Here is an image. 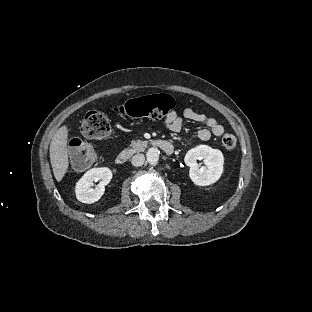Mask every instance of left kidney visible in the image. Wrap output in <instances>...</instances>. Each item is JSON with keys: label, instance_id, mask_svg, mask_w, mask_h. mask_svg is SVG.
<instances>
[{"label": "left kidney", "instance_id": "obj_1", "mask_svg": "<svg viewBox=\"0 0 312 312\" xmlns=\"http://www.w3.org/2000/svg\"><path fill=\"white\" fill-rule=\"evenodd\" d=\"M204 159L207 167L200 168L196 159ZM184 162L190 167L189 177L198 186L208 187L216 183L224 171V155L221 150L207 145H198L190 149L185 155Z\"/></svg>", "mask_w": 312, "mask_h": 312}]
</instances>
